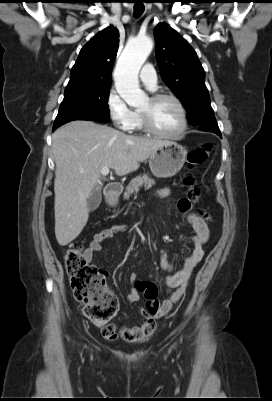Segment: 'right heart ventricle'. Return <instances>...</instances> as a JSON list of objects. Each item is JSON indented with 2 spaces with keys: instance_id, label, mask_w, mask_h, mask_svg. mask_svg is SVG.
<instances>
[{
  "instance_id": "right-heart-ventricle-1",
  "label": "right heart ventricle",
  "mask_w": 272,
  "mask_h": 401,
  "mask_svg": "<svg viewBox=\"0 0 272 401\" xmlns=\"http://www.w3.org/2000/svg\"><path fill=\"white\" fill-rule=\"evenodd\" d=\"M131 131H142L141 117L139 111H135L134 119L130 128Z\"/></svg>"
}]
</instances>
